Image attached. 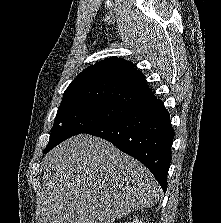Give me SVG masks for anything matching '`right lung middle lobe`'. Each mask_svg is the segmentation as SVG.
<instances>
[{"label":"right lung middle lobe","instance_id":"1","mask_svg":"<svg viewBox=\"0 0 221 223\" xmlns=\"http://www.w3.org/2000/svg\"><path fill=\"white\" fill-rule=\"evenodd\" d=\"M135 106L119 101L100 98H81L61 102L44 153L60 142L77 134L85 133L124 115Z\"/></svg>","mask_w":221,"mask_h":223}]
</instances>
